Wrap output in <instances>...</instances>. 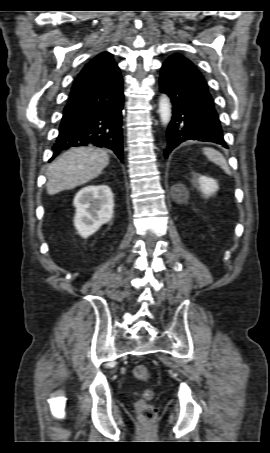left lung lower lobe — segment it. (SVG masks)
Masks as SVG:
<instances>
[{"label":"left lung lower lobe","instance_id":"left-lung-lower-lobe-1","mask_svg":"<svg viewBox=\"0 0 270 453\" xmlns=\"http://www.w3.org/2000/svg\"><path fill=\"white\" fill-rule=\"evenodd\" d=\"M160 90L173 104L167 129V158L174 148L188 140L214 142L228 148L207 82L195 65L173 55L162 66Z\"/></svg>","mask_w":270,"mask_h":453}]
</instances>
